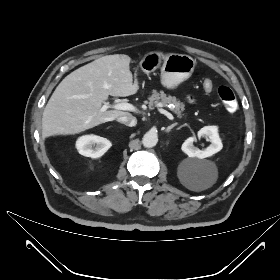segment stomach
<instances>
[{
    "label": "stomach",
    "mask_w": 280,
    "mask_h": 280,
    "mask_svg": "<svg viewBox=\"0 0 280 280\" xmlns=\"http://www.w3.org/2000/svg\"><path fill=\"white\" fill-rule=\"evenodd\" d=\"M142 70L149 74L161 68V84L167 89H176L193 73L196 61L189 55L171 53L164 55L153 51L141 60Z\"/></svg>",
    "instance_id": "stomach-1"
}]
</instances>
